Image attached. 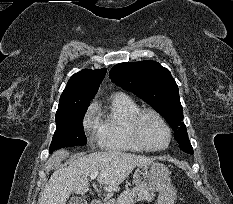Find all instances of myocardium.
I'll return each mask as SVG.
<instances>
[{
    "mask_svg": "<svg viewBox=\"0 0 233 204\" xmlns=\"http://www.w3.org/2000/svg\"><path fill=\"white\" fill-rule=\"evenodd\" d=\"M146 115L154 116L165 127V129L167 131L168 139H167V143L163 147H158V148L150 147L144 141V139L142 137V134H141L140 125H141L142 119ZM129 129H130V133H131V136H132L134 142L143 151H148V152H160V151H163V150H165V149H167L169 147V145L171 143V140H172V130H171V127L169 126L168 122L166 121V119L159 112H157V111H155L153 109H140L138 112H136L130 119Z\"/></svg>",
    "mask_w": 233,
    "mask_h": 204,
    "instance_id": "1",
    "label": "myocardium"
}]
</instances>
